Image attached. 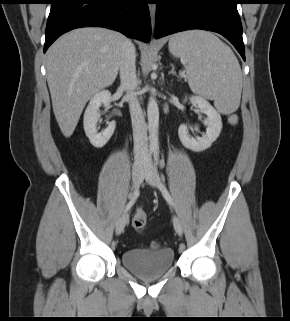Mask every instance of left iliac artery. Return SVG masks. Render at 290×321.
<instances>
[{"label":"left iliac artery","instance_id":"44dca946","mask_svg":"<svg viewBox=\"0 0 290 321\" xmlns=\"http://www.w3.org/2000/svg\"><path fill=\"white\" fill-rule=\"evenodd\" d=\"M154 161H155V167L157 168V165L159 164V152L154 153ZM159 188H160V191L162 192L164 198L167 200V202L171 206H174L173 200H172L167 188L164 186V184L162 182L159 183Z\"/></svg>","mask_w":290,"mask_h":321}]
</instances>
